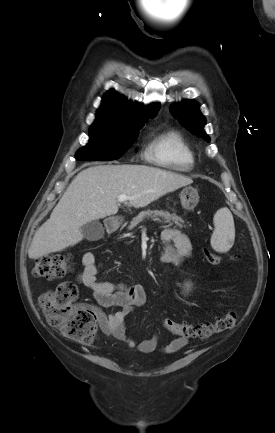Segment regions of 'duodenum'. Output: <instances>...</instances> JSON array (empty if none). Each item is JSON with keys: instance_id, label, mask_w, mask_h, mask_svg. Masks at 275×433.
Returning a JSON list of instances; mask_svg holds the SVG:
<instances>
[{"instance_id": "duodenum-1", "label": "duodenum", "mask_w": 275, "mask_h": 433, "mask_svg": "<svg viewBox=\"0 0 275 433\" xmlns=\"http://www.w3.org/2000/svg\"><path fill=\"white\" fill-rule=\"evenodd\" d=\"M104 225H105L107 232L110 234L114 233L118 229L117 221L112 220V219L106 220Z\"/></svg>"}]
</instances>
